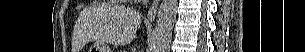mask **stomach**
Returning a JSON list of instances; mask_svg holds the SVG:
<instances>
[{
  "label": "stomach",
  "mask_w": 305,
  "mask_h": 52,
  "mask_svg": "<svg viewBox=\"0 0 305 52\" xmlns=\"http://www.w3.org/2000/svg\"><path fill=\"white\" fill-rule=\"evenodd\" d=\"M89 52H111L106 43L94 42L89 48Z\"/></svg>",
  "instance_id": "stomach-1"
}]
</instances>
